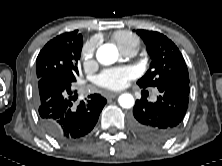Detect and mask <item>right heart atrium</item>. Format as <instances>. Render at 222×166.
Masks as SVG:
<instances>
[{"mask_svg":"<svg viewBox=\"0 0 222 166\" xmlns=\"http://www.w3.org/2000/svg\"><path fill=\"white\" fill-rule=\"evenodd\" d=\"M95 48L93 42H88L83 46L81 51V61L83 64H89L93 61Z\"/></svg>","mask_w":222,"mask_h":166,"instance_id":"right-heart-atrium-1","label":"right heart atrium"}]
</instances>
